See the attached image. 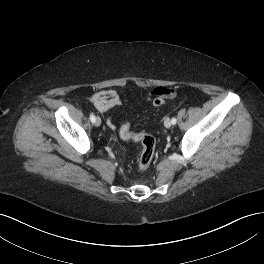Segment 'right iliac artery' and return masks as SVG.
Listing matches in <instances>:
<instances>
[{"instance_id": "82829eb1", "label": "right iliac artery", "mask_w": 264, "mask_h": 264, "mask_svg": "<svg viewBox=\"0 0 264 264\" xmlns=\"http://www.w3.org/2000/svg\"><path fill=\"white\" fill-rule=\"evenodd\" d=\"M90 121L92 123H95V116L93 114L90 115Z\"/></svg>"}]
</instances>
